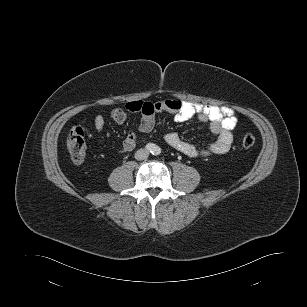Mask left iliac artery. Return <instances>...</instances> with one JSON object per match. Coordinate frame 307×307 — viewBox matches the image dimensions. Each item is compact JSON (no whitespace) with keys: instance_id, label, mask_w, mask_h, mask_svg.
I'll use <instances>...</instances> for the list:
<instances>
[{"instance_id":"1","label":"left iliac artery","mask_w":307,"mask_h":307,"mask_svg":"<svg viewBox=\"0 0 307 307\" xmlns=\"http://www.w3.org/2000/svg\"><path fill=\"white\" fill-rule=\"evenodd\" d=\"M160 152H161L160 148H159V147H156L153 154L159 155Z\"/></svg>"}]
</instances>
